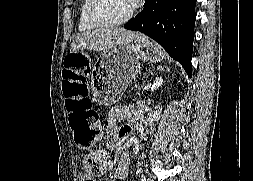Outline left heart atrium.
<instances>
[{
	"label": "left heart atrium",
	"mask_w": 253,
	"mask_h": 181,
	"mask_svg": "<svg viewBox=\"0 0 253 181\" xmlns=\"http://www.w3.org/2000/svg\"><path fill=\"white\" fill-rule=\"evenodd\" d=\"M132 8H135L139 5L140 0H129Z\"/></svg>",
	"instance_id": "left-heart-atrium-1"
}]
</instances>
